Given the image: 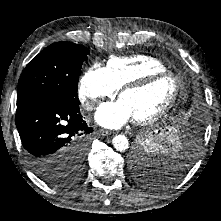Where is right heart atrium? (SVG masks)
Instances as JSON below:
<instances>
[{"mask_svg":"<svg viewBox=\"0 0 221 221\" xmlns=\"http://www.w3.org/2000/svg\"><path fill=\"white\" fill-rule=\"evenodd\" d=\"M116 93L106 68L99 64L89 67L80 79L78 96L86 110H93L102 99L112 98Z\"/></svg>","mask_w":221,"mask_h":221,"instance_id":"obj_1","label":"right heart atrium"}]
</instances>
